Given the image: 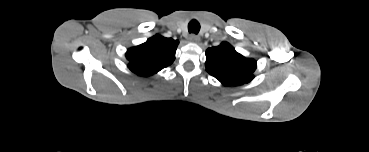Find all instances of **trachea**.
I'll return each instance as SVG.
<instances>
[{
    "mask_svg": "<svg viewBox=\"0 0 369 152\" xmlns=\"http://www.w3.org/2000/svg\"><path fill=\"white\" fill-rule=\"evenodd\" d=\"M188 31L189 33L198 34L200 31V24L197 20L193 19L188 24Z\"/></svg>",
    "mask_w": 369,
    "mask_h": 152,
    "instance_id": "1",
    "label": "trachea"
}]
</instances>
